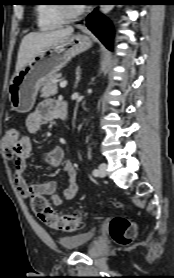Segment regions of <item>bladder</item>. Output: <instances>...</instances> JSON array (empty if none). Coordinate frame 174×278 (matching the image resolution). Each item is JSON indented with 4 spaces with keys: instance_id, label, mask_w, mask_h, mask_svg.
Wrapping results in <instances>:
<instances>
[{
    "instance_id": "bladder-1",
    "label": "bladder",
    "mask_w": 174,
    "mask_h": 278,
    "mask_svg": "<svg viewBox=\"0 0 174 278\" xmlns=\"http://www.w3.org/2000/svg\"><path fill=\"white\" fill-rule=\"evenodd\" d=\"M95 239L96 232L91 230L62 237L59 239V243L67 250H74L92 243Z\"/></svg>"
}]
</instances>
